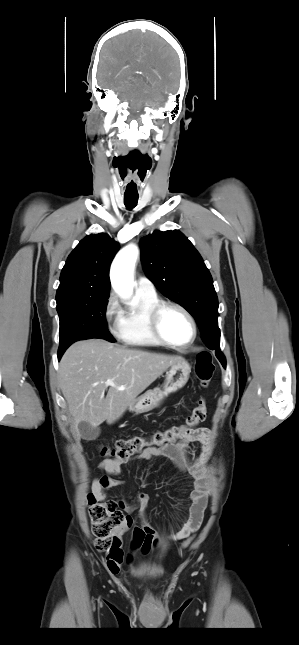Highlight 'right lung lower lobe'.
Segmentation results:
<instances>
[{"instance_id":"right-lung-lower-lobe-1","label":"right lung lower lobe","mask_w":299,"mask_h":645,"mask_svg":"<svg viewBox=\"0 0 299 645\" xmlns=\"http://www.w3.org/2000/svg\"><path fill=\"white\" fill-rule=\"evenodd\" d=\"M63 353H64V352H62V353H58V359H60V358H61V356L63 355Z\"/></svg>"}]
</instances>
